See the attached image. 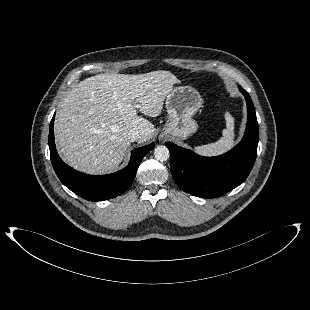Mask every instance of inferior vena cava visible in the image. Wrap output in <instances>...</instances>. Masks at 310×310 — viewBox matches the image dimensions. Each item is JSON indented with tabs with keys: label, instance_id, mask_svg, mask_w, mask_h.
<instances>
[{
	"label": "inferior vena cava",
	"instance_id": "602c4592",
	"mask_svg": "<svg viewBox=\"0 0 310 310\" xmlns=\"http://www.w3.org/2000/svg\"><path fill=\"white\" fill-rule=\"evenodd\" d=\"M141 132L138 130H132L128 133V136L132 142L137 141L141 138Z\"/></svg>",
	"mask_w": 310,
	"mask_h": 310
}]
</instances>
